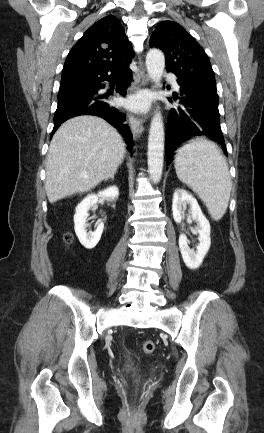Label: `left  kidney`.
<instances>
[{"label": "left kidney", "instance_id": "5707ae66", "mask_svg": "<svg viewBox=\"0 0 264 433\" xmlns=\"http://www.w3.org/2000/svg\"><path fill=\"white\" fill-rule=\"evenodd\" d=\"M186 205L190 206L189 213L197 223L199 244L196 246V251L190 249L186 235L181 234L179 236V248L185 265L189 269L195 270L202 264L211 245L210 223L202 213L197 200L184 189H177L173 195L172 212L176 223H181Z\"/></svg>", "mask_w": 264, "mask_h": 433}]
</instances>
